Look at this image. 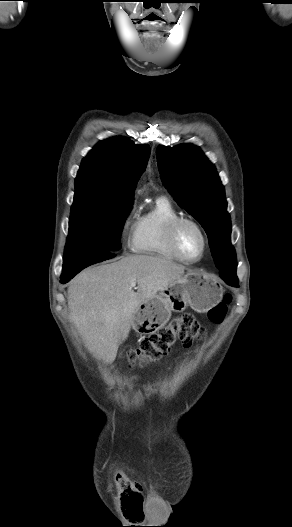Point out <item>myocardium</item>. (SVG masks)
Returning <instances> with one entry per match:
<instances>
[{
	"label": "myocardium",
	"instance_id": "1",
	"mask_svg": "<svg viewBox=\"0 0 292 527\" xmlns=\"http://www.w3.org/2000/svg\"><path fill=\"white\" fill-rule=\"evenodd\" d=\"M184 224L193 225L200 232L202 236V240H203L202 252L200 256L196 259H189L185 257L179 249L178 242H177V235H178V231L180 227ZM167 243H168L169 248L171 249V251L173 252V254L178 260L184 263H188V264H195V263L200 262L205 257L208 247H209V238H208V235L205 229L197 220L191 217L180 216L174 219L168 227Z\"/></svg>",
	"mask_w": 292,
	"mask_h": 527
}]
</instances>
